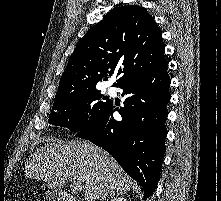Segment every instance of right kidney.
<instances>
[{
	"mask_svg": "<svg viewBox=\"0 0 221 201\" xmlns=\"http://www.w3.org/2000/svg\"><path fill=\"white\" fill-rule=\"evenodd\" d=\"M111 201H127V200L123 197H117V198L112 199Z\"/></svg>",
	"mask_w": 221,
	"mask_h": 201,
	"instance_id": "1",
	"label": "right kidney"
}]
</instances>
